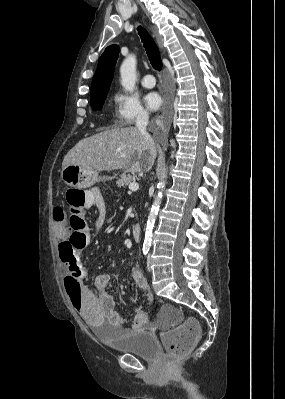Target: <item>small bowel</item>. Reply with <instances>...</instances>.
<instances>
[{"mask_svg": "<svg viewBox=\"0 0 285 399\" xmlns=\"http://www.w3.org/2000/svg\"><path fill=\"white\" fill-rule=\"evenodd\" d=\"M85 208L88 210H95L96 215L94 220V228H98L105 219L107 213L106 204L99 189L93 188L85 192ZM53 215L59 221L56 223L57 235L61 240H64L69 236V231L64 221H62V209H54ZM131 277L135 284L142 290L144 297L148 300H151V293L142 270L139 267H134L131 271ZM67 278L71 279L73 282H78L81 285L82 295L80 298V304L78 307L74 306L73 304L72 305L78 310L81 318H83L86 322L101 323L106 321L111 326L120 328L123 333L128 332L131 329H149L147 324V314L140 311L133 315L131 327H126L127 317L115 310L116 302L109 289L107 275L105 273H100L95 277V287L98 291L97 294L93 293L88 288L84 279L83 269L80 268V270H78L75 265H67L66 279Z\"/></svg>", "mask_w": 285, "mask_h": 399, "instance_id": "1", "label": "small bowel"}]
</instances>
